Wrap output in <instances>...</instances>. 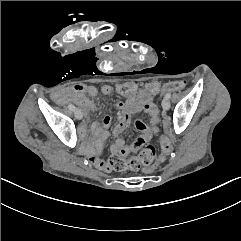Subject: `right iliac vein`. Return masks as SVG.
Instances as JSON below:
<instances>
[{
	"instance_id": "obj_1",
	"label": "right iliac vein",
	"mask_w": 241,
	"mask_h": 241,
	"mask_svg": "<svg viewBox=\"0 0 241 241\" xmlns=\"http://www.w3.org/2000/svg\"><path fill=\"white\" fill-rule=\"evenodd\" d=\"M74 115H75V118L78 120L82 119L83 117L82 111L79 108L75 109Z\"/></svg>"
}]
</instances>
